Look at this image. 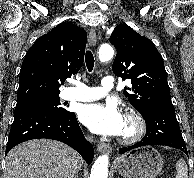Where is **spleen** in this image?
Masks as SVG:
<instances>
[{
	"label": "spleen",
	"mask_w": 194,
	"mask_h": 178,
	"mask_svg": "<svg viewBox=\"0 0 194 178\" xmlns=\"http://www.w3.org/2000/svg\"><path fill=\"white\" fill-rule=\"evenodd\" d=\"M176 176L175 178H188V167L183 159H179L176 162Z\"/></svg>",
	"instance_id": "obj_1"
}]
</instances>
